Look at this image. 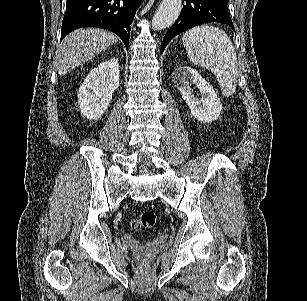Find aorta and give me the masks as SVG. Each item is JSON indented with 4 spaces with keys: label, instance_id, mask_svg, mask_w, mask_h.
<instances>
[{
    "label": "aorta",
    "instance_id": "obj_1",
    "mask_svg": "<svg viewBox=\"0 0 307 301\" xmlns=\"http://www.w3.org/2000/svg\"><path fill=\"white\" fill-rule=\"evenodd\" d=\"M182 10V0H162L152 18V28L162 30L172 26Z\"/></svg>",
    "mask_w": 307,
    "mask_h": 301
}]
</instances>
